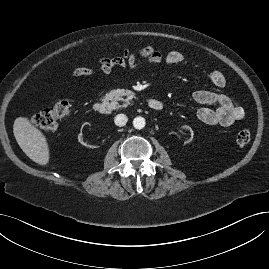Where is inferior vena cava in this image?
I'll return each mask as SVG.
<instances>
[{"mask_svg": "<svg viewBox=\"0 0 269 269\" xmlns=\"http://www.w3.org/2000/svg\"><path fill=\"white\" fill-rule=\"evenodd\" d=\"M127 121H128V118L124 114H118L114 119L115 124L119 127L126 125Z\"/></svg>", "mask_w": 269, "mask_h": 269, "instance_id": "1", "label": "inferior vena cava"}]
</instances>
